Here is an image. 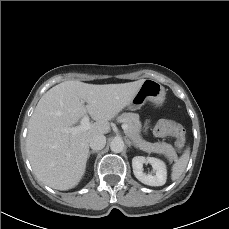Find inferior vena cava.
<instances>
[{
	"label": "inferior vena cava",
	"instance_id": "inferior-vena-cava-1",
	"mask_svg": "<svg viewBox=\"0 0 229 229\" xmlns=\"http://www.w3.org/2000/svg\"><path fill=\"white\" fill-rule=\"evenodd\" d=\"M106 137L102 134H96L91 137L89 145L93 150H101L105 147Z\"/></svg>",
	"mask_w": 229,
	"mask_h": 229
}]
</instances>
